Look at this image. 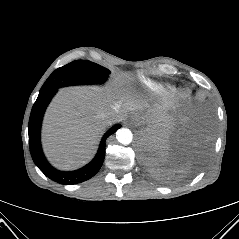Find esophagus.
Segmentation results:
<instances>
[{
	"mask_svg": "<svg viewBox=\"0 0 239 239\" xmlns=\"http://www.w3.org/2000/svg\"><path fill=\"white\" fill-rule=\"evenodd\" d=\"M131 120H132V122H134V123H138V122H140L141 121V116L139 115V114H133L132 116H131Z\"/></svg>",
	"mask_w": 239,
	"mask_h": 239,
	"instance_id": "esophagus-1",
	"label": "esophagus"
}]
</instances>
